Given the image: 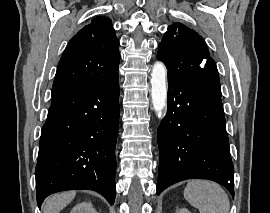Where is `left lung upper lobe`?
<instances>
[{
  "label": "left lung upper lobe",
  "mask_w": 270,
  "mask_h": 213,
  "mask_svg": "<svg viewBox=\"0 0 270 213\" xmlns=\"http://www.w3.org/2000/svg\"><path fill=\"white\" fill-rule=\"evenodd\" d=\"M157 59L165 63L168 79H197L220 89L217 67L205 41L181 23L168 27L159 44Z\"/></svg>",
  "instance_id": "5c2ea615"
}]
</instances>
